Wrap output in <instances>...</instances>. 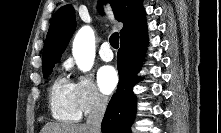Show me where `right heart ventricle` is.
I'll return each mask as SVG.
<instances>
[{"mask_svg":"<svg viewBox=\"0 0 221 133\" xmlns=\"http://www.w3.org/2000/svg\"><path fill=\"white\" fill-rule=\"evenodd\" d=\"M49 106L52 116L65 123L77 122L81 118L74 83L62 76L57 77L49 89Z\"/></svg>","mask_w":221,"mask_h":133,"instance_id":"right-heart-ventricle-1","label":"right heart ventricle"}]
</instances>
